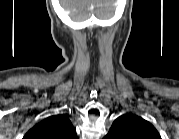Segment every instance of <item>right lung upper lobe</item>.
Returning <instances> with one entry per match:
<instances>
[{
    "label": "right lung upper lobe",
    "mask_w": 179,
    "mask_h": 139,
    "mask_svg": "<svg viewBox=\"0 0 179 139\" xmlns=\"http://www.w3.org/2000/svg\"><path fill=\"white\" fill-rule=\"evenodd\" d=\"M26 139H77L75 129L71 121L65 115L48 117L25 135Z\"/></svg>",
    "instance_id": "right-lung-upper-lobe-1"
}]
</instances>
